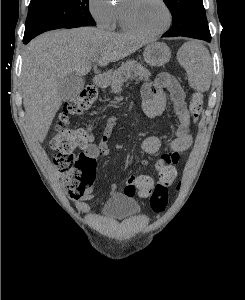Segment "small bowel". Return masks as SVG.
<instances>
[{
    "label": "small bowel",
    "mask_w": 245,
    "mask_h": 300,
    "mask_svg": "<svg viewBox=\"0 0 245 300\" xmlns=\"http://www.w3.org/2000/svg\"><path fill=\"white\" fill-rule=\"evenodd\" d=\"M140 104L142 112L149 118H155L161 115L167 106L178 119V127L174 132L173 138L164 141L157 136H148L141 142V150L146 154H156L162 148L166 147L169 151L161 155L154 164V169L159 177L153 185L154 190H165L171 188L177 179L176 163L179 154L190 148L193 142L191 120L185 102V94L179 82L169 73H160L153 81L145 82L141 87ZM118 117H110L105 125L101 141L95 143V135L88 134L87 143L83 147V154L97 159L108 156L110 150L108 141L112 131L117 123ZM139 176L131 175L125 185L123 193L125 196L134 197L136 194V181ZM117 188L114 184L109 195L117 194ZM94 199L91 192L86 193L81 199L75 201V207L80 212L88 209L87 201Z\"/></svg>",
    "instance_id": "1"
}]
</instances>
